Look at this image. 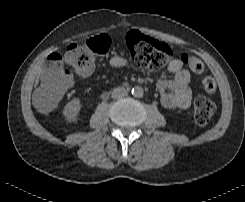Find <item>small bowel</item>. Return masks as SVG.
I'll return each mask as SVG.
<instances>
[{
    "mask_svg": "<svg viewBox=\"0 0 245 202\" xmlns=\"http://www.w3.org/2000/svg\"><path fill=\"white\" fill-rule=\"evenodd\" d=\"M109 65L113 68H121L128 65L127 58L123 56H113L109 60ZM95 70V66L89 69L82 75L88 76ZM168 71L173 74L172 78L162 77L158 80L157 86L162 92L161 103L167 109L188 108L192 100L191 74L184 68V63L181 58H174L168 65ZM39 97V88L36 92Z\"/></svg>",
    "mask_w": 245,
    "mask_h": 202,
    "instance_id": "small-bowel-1",
    "label": "small bowel"
}]
</instances>
